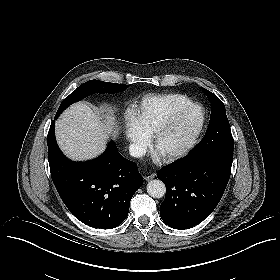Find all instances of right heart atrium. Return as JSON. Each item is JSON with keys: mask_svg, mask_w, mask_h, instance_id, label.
<instances>
[{"mask_svg": "<svg viewBox=\"0 0 280 280\" xmlns=\"http://www.w3.org/2000/svg\"><path fill=\"white\" fill-rule=\"evenodd\" d=\"M130 141L136 151L143 152L147 147L146 140L137 134L131 136Z\"/></svg>", "mask_w": 280, "mask_h": 280, "instance_id": "1", "label": "right heart atrium"}]
</instances>
